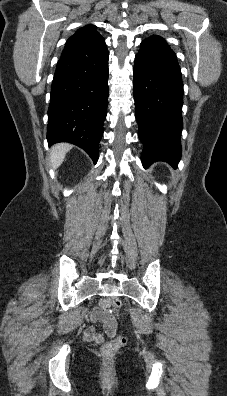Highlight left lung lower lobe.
I'll list each match as a JSON object with an SVG mask.
<instances>
[{
    "label": "left lung lower lobe",
    "instance_id": "left-lung-lower-lobe-1",
    "mask_svg": "<svg viewBox=\"0 0 227 396\" xmlns=\"http://www.w3.org/2000/svg\"><path fill=\"white\" fill-rule=\"evenodd\" d=\"M133 75L142 163L147 167L165 161L176 167L181 158L183 82L177 57L163 38L142 41Z\"/></svg>",
    "mask_w": 227,
    "mask_h": 396
}]
</instances>
